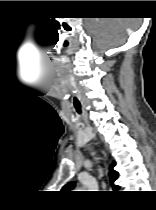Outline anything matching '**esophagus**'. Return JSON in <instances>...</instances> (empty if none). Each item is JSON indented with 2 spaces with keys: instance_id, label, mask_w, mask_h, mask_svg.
<instances>
[{
  "instance_id": "esophagus-1",
  "label": "esophagus",
  "mask_w": 156,
  "mask_h": 210,
  "mask_svg": "<svg viewBox=\"0 0 156 210\" xmlns=\"http://www.w3.org/2000/svg\"><path fill=\"white\" fill-rule=\"evenodd\" d=\"M104 156H105V158L107 159V156H106V154L104 153Z\"/></svg>"
}]
</instances>
